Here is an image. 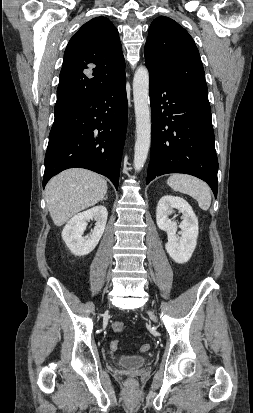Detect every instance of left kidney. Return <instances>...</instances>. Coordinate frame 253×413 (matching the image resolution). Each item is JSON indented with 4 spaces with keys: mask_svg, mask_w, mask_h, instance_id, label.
I'll return each mask as SVG.
<instances>
[{
    "mask_svg": "<svg viewBox=\"0 0 253 413\" xmlns=\"http://www.w3.org/2000/svg\"><path fill=\"white\" fill-rule=\"evenodd\" d=\"M174 209L182 213V222L179 225L181 231L177 235V223L169 219ZM156 222L159 229L167 233L168 242L165 249L169 256L179 264L190 260L198 237V220L189 203L181 197L165 195L157 205Z\"/></svg>",
    "mask_w": 253,
    "mask_h": 413,
    "instance_id": "obj_1",
    "label": "left kidney"
}]
</instances>
